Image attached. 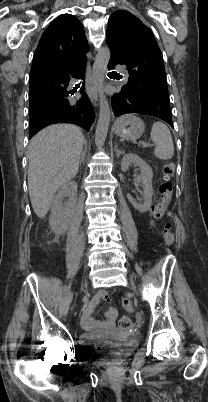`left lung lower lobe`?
I'll return each mask as SVG.
<instances>
[{"mask_svg":"<svg viewBox=\"0 0 208 402\" xmlns=\"http://www.w3.org/2000/svg\"><path fill=\"white\" fill-rule=\"evenodd\" d=\"M111 50L108 64L113 69L117 64H123L122 57L117 51ZM112 108L114 116L137 113L160 118L173 127L169 102L157 98L155 94L145 91L137 85L127 83L119 93L112 96Z\"/></svg>","mask_w":208,"mask_h":402,"instance_id":"obj_1","label":"left lung lower lobe"}]
</instances>
